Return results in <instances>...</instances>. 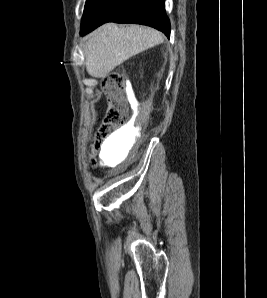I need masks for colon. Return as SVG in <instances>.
Returning <instances> with one entry per match:
<instances>
[{"mask_svg": "<svg viewBox=\"0 0 267 298\" xmlns=\"http://www.w3.org/2000/svg\"><path fill=\"white\" fill-rule=\"evenodd\" d=\"M103 88L108 97L109 105L90 151L89 161L92 167L96 166L98 153L107 139L128 123L127 108L123 96L124 79L122 75L117 72L110 73L103 81Z\"/></svg>", "mask_w": 267, "mask_h": 298, "instance_id": "colon-1", "label": "colon"}]
</instances>
